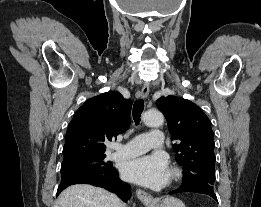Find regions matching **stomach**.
Segmentation results:
<instances>
[{"label": "stomach", "mask_w": 261, "mask_h": 207, "mask_svg": "<svg viewBox=\"0 0 261 207\" xmlns=\"http://www.w3.org/2000/svg\"><path fill=\"white\" fill-rule=\"evenodd\" d=\"M148 207H186L185 204L175 197H166L161 200H156Z\"/></svg>", "instance_id": "stomach-1"}]
</instances>
